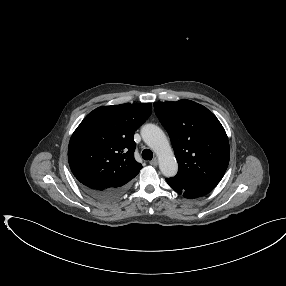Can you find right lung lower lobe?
<instances>
[{"label": "right lung lower lobe", "instance_id": "obj_1", "mask_svg": "<svg viewBox=\"0 0 286 286\" xmlns=\"http://www.w3.org/2000/svg\"><path fill=\"white\" fill-rule=\"evenodd\" d=\"M80 186L87 195L101 202H108V201H112L118 198L124 193V191L127 188V186H125L121 188H107V189L99 190V189L87 187L81 184Z\"/></svg>", "mask_w": 286, "mask_h": 286}]
</instances>
